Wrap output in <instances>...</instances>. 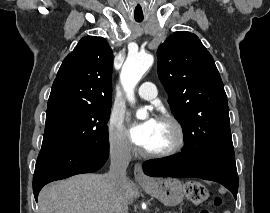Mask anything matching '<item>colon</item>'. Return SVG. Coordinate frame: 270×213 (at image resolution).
Masks as SVG:
<instances>
[{
    "mask_svg": "<svg viewBox=\"0 0 270 213\" xmlns=\"http://www.w3.org/2000/svg\"><path fill=\"white\" fill-rule=\"evenodd\" d=\"M184 193L186 197L195 205L200 204L207 197V189L203 183L199 181H188L184 185ZM221 204L219 197H214L207 208H204L200 213H214V208Z\"/></svg>",
    "mask_w": 270,
    "mask_h": 213,
    "instance_id": "5ec220e1",
    "label": "colon"
}]
</instances>
